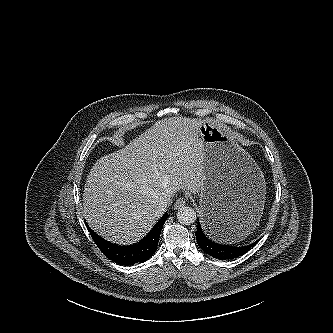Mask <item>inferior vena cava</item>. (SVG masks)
Returning <instances> with one entry per match:
<instances>
[{
  "instance_id": "602c4592",
  "label": "inferior vena cava",
  "mask_w": 333,
  "mask_h": 333,
  "mask_svg": "<svg viewBox=\"0 0 333 333\" xmlns=\"http://www.w3.org/2000/svg\"><path fill=\"white\" fill-rule=\"evenodd\" d=\"M170 202H171L170 198H164L159 201L158 206L161 210L165 211Z\"/></svg>"
}]
</instances>
